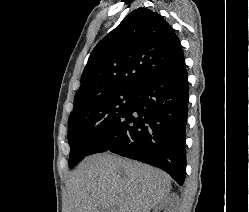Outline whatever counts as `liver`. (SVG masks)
Returning a JSON list of instances; mask_svg holds the SVG:
<instances>
[{
	"instance_id": "6515ba94",
	"label": "liver",
	"mask_w": 249,
	"mask_h": 212,
	"mask_svg": "<svg viewBox=\"0 0 249 212\" xmlns=\"http://www.w3.org/2000/svg\"><path fill=\"white\" fill-rule=\"evenodd\" d=\"M171 178L111 152L84 158L67 180L66 212H150L166 200Z\"/></svg>"
}]
</instances>
